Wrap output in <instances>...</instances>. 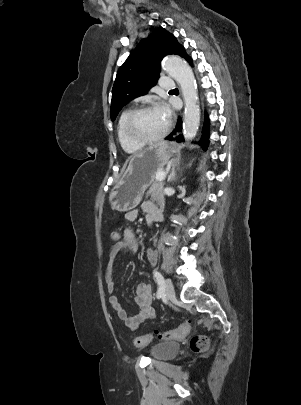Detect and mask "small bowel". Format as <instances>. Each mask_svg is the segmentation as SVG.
I'll return each mask as SVG.
<instances>
[{
  "label": "small bowel",
  "mask_w": 301,
  "mask_h": 405,
  "mask_svg": "<svg viewBox=\"0 0 301 405\" xmlns=\"http://www.w3.org/2000/svg\"><path fill=\"white\" fill-rule=\"evenodd\" d=\"M140 213H144L148 222H158L162 219V212L159 206L151 201H144L138 209L131 210L125 214L127 221H135ZM119 241L113 244L110 252V261L106 270L105 282L110 293L109 303L116 311L120 320L130 329H136L141 323L152 319L156 310L153 306L152 287L147 283H140L137 287L135 303L138 306V312L129 315L120 304L118 297L114 294V262L118 254L122 251L135 253L138 249V240L129 227L125 228L123 234L118 235ZM148 260L150 264H155L156 254L153 250L148 251Z\"/></svg>",
  "instance_id": "c3829d8e"
}]
</instances>
